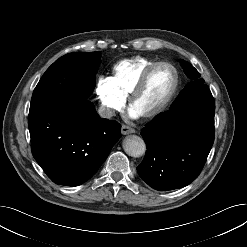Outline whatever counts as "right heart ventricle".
<instances>
[{
    "label": "right heart ventricle",
    "instance_id": "right-heart-ventricle-1",
    "mask_svg": "<svg viewBox=\"0 0 247 247\" xmlns=\"http://www.w3.org/2000/svg\"><path fill=\"white\" fill-rule=\"evenodd\" d=\"M156 60L135 56L118 61L109 77L113 87L123 96L127 97L141 73Z\"/></svg>",
    "mask_w": 247,
    "mask_h": 247
}]
</instances>
